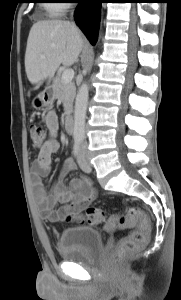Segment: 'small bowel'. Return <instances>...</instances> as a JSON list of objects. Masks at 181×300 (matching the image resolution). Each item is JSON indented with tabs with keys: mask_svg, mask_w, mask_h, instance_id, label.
<instances>
[{
	"mask_svg": "<svg viewBox=\"0 0 181 300\" xmlns=\"http://www.w3.org/2000/svg\"><path fill=\"white\" fill-rule=\"evenodd\" d=\"M45 121L50 137L34 160L32 185L38 206L47 213L50 222L57 223L67 216L79 217L84 208L95 199L96 192L90 183L82 177L72 178L69 186L64 183V178L75 169V162L71 158L64 162L58 180L50 191H47L42 177L49 174L52 155L59 149L56 113L49 111L46 114ZM58 204H62V208L55 209Z\"/></svg>",
	"mask_w": 181,
	"mask_h": 300,
	"instance_id": "c3829d8e",
	"label": "small bowel"
}]
</instances>
